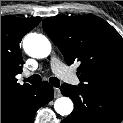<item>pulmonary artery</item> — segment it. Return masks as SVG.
Wrapping results in <instances>:
<instances>
[{
    "label": "pulmonary artery",
    "mask_w": 123,
    "mask_h": 123,
    "mask_svg": "<svg viewBox=\"0 0 123 123\" xmlns=\"http://www.w3.org/2000/svg\"><path fill=\"white\" fill-rule=\"evenodd\" d=\"M52 71L61 79L70 82L76 83L75 76L67 69L64 63L56 56H53L50 60ZM28 75V72H26Z\"/></svg>",
    "instance_id": "obj_1"
}]
</instances>
